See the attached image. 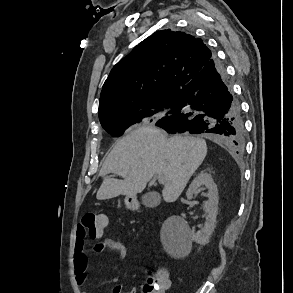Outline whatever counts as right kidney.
<instances>
[{"instance_id": "right-kidney-1", "label": "right kidney", "mask_w": 293, "mask_h": 293, "mask_svg": "<svg viewBox=\"0 0 293 293\" xmlns=\"http://www.w3.org/2000/svg\"><path fill=\"white\" fill-rule=\"evenodd\" d=\"M205 186L208 189V200L204 202L203 209L206 213V222L198 232L190 230L188 224L183 219H178V239H166L164 233L161 234V240L167 252L171 253L178 247H190L191 242L195 241L198 244L205 245L208 243L211 234L216 227V217L218 211V190L210 174L200 173L188 187L186 192L187 199L193 198L194 193L198 188Z\"/></svg>"}]
</instances>
